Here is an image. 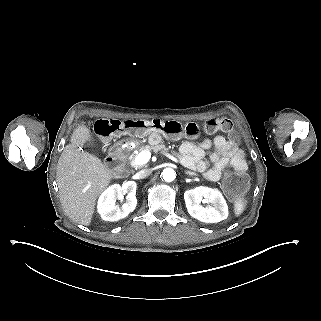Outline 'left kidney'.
I'll list each match as a JSON object with an SVG mask.
<instances>
[{
  "instance_id": "5707ae66",
  "label": "left kidney",
  "mask_w": 321,
  "mask_h": 321,
  "mask_svg": "<svg viewBox=\"0 0 321 321\" xmlns=\"http://www.w3.org/2000/svg\"><path fill=\"white\" fill-rule=\"evenodd\" d=\"M213 206L204 208L202 199ZM186 208L190 216L204 223H218L228 217V206L222 194L206 186H198L184 193Z\"/></svg>"
}]
</instances>
